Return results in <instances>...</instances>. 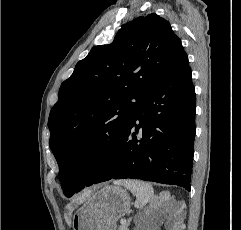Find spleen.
<instances>
[{
  "instance_id": "3e777b00",
  "label": "spleen",
  "mask_w": 241,
  "mask_h": 230,
  "mask_svg": "<svg viewBox=\"0 0 241 230\" xmlns=\"http://www.w3.org/2000/svg\"><path fill=\"white\" fill-rule=\"evenodd\" d=\"M116 184L123 185L136 196L134 206L137 209L143 208L154 195L153 187L149 183L143 181L122 180L116 182Z\"/></svg>"
}]
</instances>
